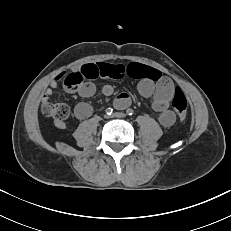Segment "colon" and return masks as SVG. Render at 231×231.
<instances>
[{
  "mask_svg": "<svg viewBox=\"0 0 231 231\" xmlns=\"http://www.w3.org/2000/svg\"><path fill=\"white\" fill-rule=\"evenodd\" d=\"M149 74L154 80L160 77L159 73L152 69L149 70ZM82 82L83 76L79 72H73L66 75L63 80V85L67 91L73 92L81 86ZM172 106L179 119L184 120L187 116L188 102L184 93L179 88L175 89ZM41 110L43 114L54 118L56 121H64L70 114L69 108L65 104H55L49 100L42 101Z\"/></svg>",
  "mask_w": 231,
  "mask_h": 231,
  "instance_id": "obj_1",
  "label": "colon"
}]
</instances>
